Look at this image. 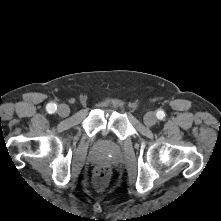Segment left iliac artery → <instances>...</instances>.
Returning a JSON list of instances; mask_svg holds the SVG:
<instances>
[{
    "mask_svg": "<svg viewBox=\"0 0 221 221\" xmlns=\"http://www.w3.org/2000/svg\"><path fill=\"white\" fill-rule=\"evenodd\" d=\"M156 116L158 119L162 120L165 117V113L162 110L157 111Z\"/></svg>",
    "mask_w": 221,
    "mask_h": 221,
    "instance_id": "obj_1",
    "label": "left iliac artery"
}]
</instances>
